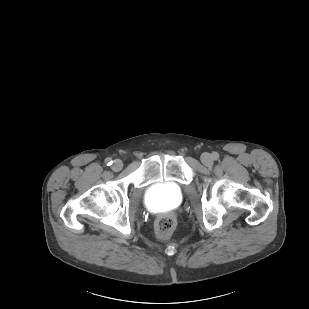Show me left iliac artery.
Segmentation results:
<instances>
[{
    "label": "left iliac artery",
    "instance_id": "left-iliac-artery-1",
    "mask_svg": "<svg viewBox=\"0 0 309 309\" xmlns=\"http://www.w3.org/2000/svg\"><path fill=\"white\" fill-rule=\"evenodd\" d=\"M212 155L214 160H217L219 158V154L217 152H214Z\"/></svg>",
    "mask_w": 309,
    "mask_h": 309
}]
</instances>
